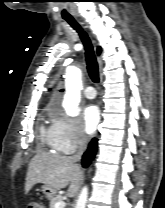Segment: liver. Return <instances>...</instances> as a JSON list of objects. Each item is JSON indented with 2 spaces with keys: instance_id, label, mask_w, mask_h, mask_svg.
Returning a JSON list of instances; mask_svg holds the SVG:
<instances>
[{
  "instance_id": "obj_1",
  "label": "liver",
  "mask_w": 165,
  "mask_h": 208,
  "mask_svg": "<svg viewBox=\"0 0 165 208\" xmlns=\"http://www.w3.org/2000/svg\"><path fill=\"white\" fill-rule=\"evenodd\" d=\"M82 179L83 172L71 157L42 152L36 154L30 161L25 193L27 194L37 183H43L56 191L70 184L67 195L74 197Z\"/></svg>"
}]
</instances>
